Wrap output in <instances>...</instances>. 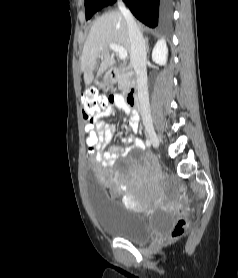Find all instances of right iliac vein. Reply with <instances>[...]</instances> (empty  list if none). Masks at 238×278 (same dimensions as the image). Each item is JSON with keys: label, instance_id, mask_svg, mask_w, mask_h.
<instances>
[{"label": "right iliac vein", "instance_id": "63e3f726", "mask_svg": "<svg viewBox=\"0 0 238 278\" xmlns=\"http://www.w3.org/2000/svg\"><path fill=\"white\" fill-rule=\"evenodd\" d=\"M146 132H147V135H148V137L150 139L151 144L155 148L159 147L160 141H159V138H158L154 128L151 127V126H147L146 127Z\"/></svg>", "mask_w": 238, "mask_h": 278}]
</instances>
